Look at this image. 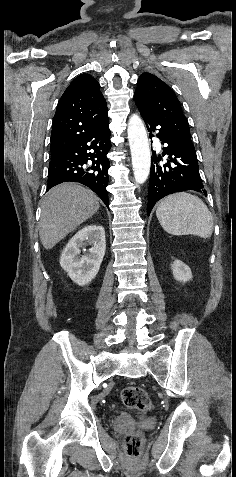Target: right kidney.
I'll list each match as a JSON object with an SVG mask.
<instances>
[{
	"instance_id": "obj_1",
	"label": "right kidney",
	"mask_w": 236,
	"mask_h": 477,
	"mask_svg": "<svg viewBox=\"0 0 236 477\" xmlns=\"http://www.w3.org/2000/svg\"><path fill=\"white\" fill-rule=\"evenodd\" d=\"M90 245L88 253L80 256L81 248ZM106 250L105 230L90 225L78 231L64 248L60 265L80 286L87 285L97 275Z\"/></svg>"
}]
</instances>
